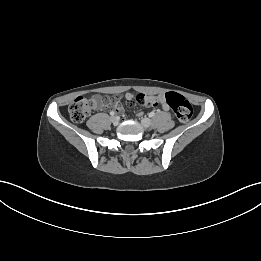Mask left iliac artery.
Listing matches in <instances>:
<instances>
[{
    "label": "left iliac artery",
    "mask_w": 261,
    "mask_h": 261,
    "mask_svg": "<svg viewBox=\"0 0 261 261\" xmlns=\"http://www.w3.org/2000/svg\"><path fill=\"white\" fill-rule=\"evenodd\" d=\"M154 115H155V112H153V111L149 113V117H153Z\"/></svg>",
    "instance_id": "44dca946"
}]
</instances>
